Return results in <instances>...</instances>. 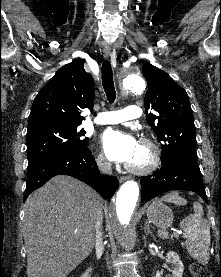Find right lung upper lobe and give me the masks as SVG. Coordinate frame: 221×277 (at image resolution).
Instances as JSON below:
<instances>
[{"label":"right lung upper lobe","instance_id":"cb5924a9","mask_svg":"<svg viewBox=\"0 0 221 277\" xmlns=\"http://www.w3.org/2000/svg\"><path fill=\"white\" fill-rule=\"evenodd\" d=\"M94 82L81 60L64 65L35 97L28 126L82 124L80 111L93 109Z\"/></svg>","mask_w":221,"mask_h":277}]
</instances>
